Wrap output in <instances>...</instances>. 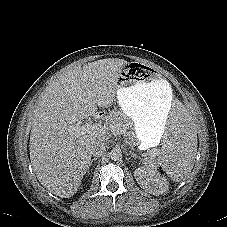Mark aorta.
I'll list each match as a JSON object with an SVG mask.
<instances>
[{
	"instance_id": "obj_1",
	"label": "aorta",
	"mask_w": 227,
	"mask_h": 227,
	"mask_svg": "<svg viewBox=\"0 0 227 227\" xmlns=\"http://www.w3.org/2000/svg\"><path fill=\"white\" fill-rule=\"evenodd\" d=\"M110 158L114 161H117L122 158V152L120 149H113L110 152Z\"/></svg>"
}]
</instances>
